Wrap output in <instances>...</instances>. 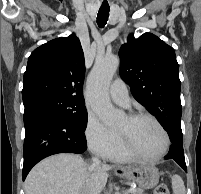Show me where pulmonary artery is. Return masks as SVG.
Listing matches in <instances>:
<instances>
[{"mask_svg":"<svg viewBox=\"0 0 201 194\" xmlns=\"http://www.w3.org/2000/svg\"><path fill=\"white\" fill-rule=\"evenodd\" d=\"M111 99L121 105L127 107L129 105V94L125 82L122 79H115L109 88Z\"/></svg>","mask_w":201,"mask_h":194,"instance_id":"obj_1","label":"pulmonary artery"}]
</instances>
